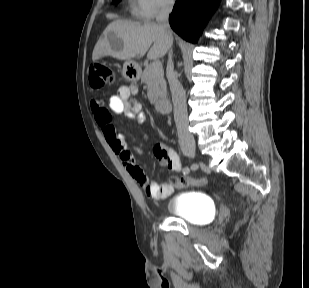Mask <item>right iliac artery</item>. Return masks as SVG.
Returning <instances> with one entry per match:
<instances>
[{"mask_svg":"<svg viewBox=\"0 0 309 288\" xmlns=\"http://www.w3.org/2000/svg\"><path fill=\"white\" fill-rule=\"evenodd\" d=\"M183 167H184V166H183ZM183 167H182V168H183ZM189 169H190V171H193V170H196V171H197L198 166H197V165L192 164V165H189Z\"/></svg>","mask_w":309,"mask_h":288,"instance_id":"1","label":"right iliac artery"}]
</instances>
